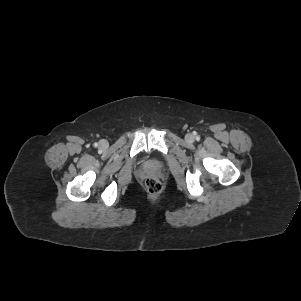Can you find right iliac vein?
I'll return each instance as SVG.
<instances>
[{"mask_svg":"<svg viewBox=\"0 0 301 301\" xmlns=\"http://www.w3.org/2000/svg\"><path fill=\"white\" fill-rule=\"evenodd\" d=\"M99 145L101 148H105L107 146V142L105 140H102Z\"/></svg>","mask_w":301,"mask_h":301,"instance_id":"right-iliac-vein-1","label":"right iliac vein"}]
</instances>
